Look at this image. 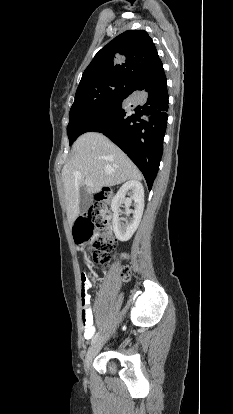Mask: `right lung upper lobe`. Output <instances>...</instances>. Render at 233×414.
Segmentation results:
<instances>
[{"label": "right lung upper lobe", "mask_w": 233, "mask_h": 414, "mask_svg": "<svg viewBox=\"0 0 233 414\" xmlns=\"http://www.w3.org/2000/svg\"><path fill=\"white\" fill-rule=\"evenodd\" d=\"M163 70L156 47L144 30L126 31L93 58L85 69L78 90L104 79L137 81Z\"/></svg>", "instance_id": "right-lung-upper-lobe-1"}]
</instances>
